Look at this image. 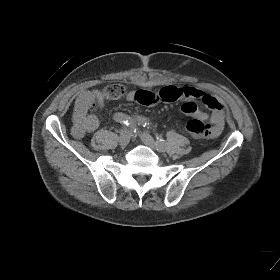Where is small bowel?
I'll use <instances>...</instances> for the list:
<instances>
[{
    "instance_id": "obj_1",
    "label": "small bowel",
    "mask_w": 280,
    "mask_h": 280,
    "mask_svg": "<svg viewBox=\"0 0 280 280\" xmlns=\"http://www.w3.org/2000/svg\"><path fill=\"white\" fill-rule=\"evenodd\" d=\"M95 99L100 106L103 105L102 97L98 91H83L77 97L73 116L72 134L75 138H82L86 133L98 128V118L89 113ZM183 99L181 110L184 114L205 121L210 120L212 126L220 133L225 122V112L222 102L216 97L196 88H180L177 86H166L157 92L148 90H135L127 94V100L135 101L146 106L156 105L161 102H174ZM203 105L211 111L209 115L199 105ZM216 134V135H217Z\"/></svg>"
}]
</instances>
